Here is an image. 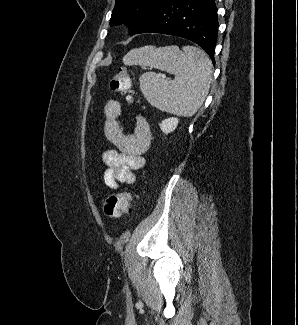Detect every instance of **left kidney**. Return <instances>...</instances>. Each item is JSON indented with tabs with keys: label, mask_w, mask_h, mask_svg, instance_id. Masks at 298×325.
<instances>
[{
	"label": "left kidney",
	"mask_w": 298,
	"mask_h": 325,
	"mask_svg": "<svg viewBox=\"0 0 298 325\" xmlns=\"http://www.w3.org/2000/svg\"><path fill=\"white\" fill-rule=\"evenodd\" d=\"M179 118H176V116H170V118H164L162 122H160V128L162 132H165V134H168V132H173L175 130L176 126H178Z\"/></svg>",
	"instance_id": "obj_1"
}]
</instances>
